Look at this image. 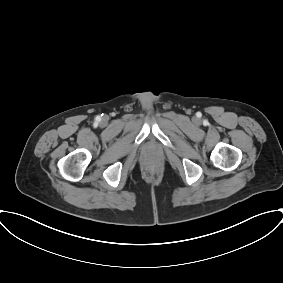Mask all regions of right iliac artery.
Returning <instances> with one entry per match:
<instances>
[{"mask_svg":"<svg viewBox=\"0 0 283 283\" xmlns=\"http://www.w3.org/2000/svg\"><path fill=\"white\" fill-rule=\"evenodd\" d=\"M96 121H100V118H99V117H97V118H96Z\"/></svg>","mask_w":283,"mask_h":283,"instance_id":"obj_1","label":"right iliac artery"}]
</instances>
